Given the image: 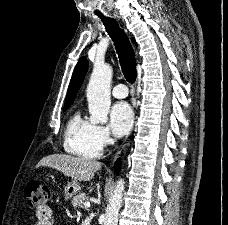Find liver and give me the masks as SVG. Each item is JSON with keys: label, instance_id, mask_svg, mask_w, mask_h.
<instances>
[{"label": "liver", "instance_id": "6515ba94", "mask_svg": "<svg viewBox=\"0 0 228 225\" xmlns=\"http://www.w3.org/2000/svg\"><path fill=\"white\" fill-rule=\"evenodd\" d=\"M102 163L84 157H71V155H49L43 157L36 167H50L66 177H72L74 181H90L94 173L100 171Z\"/></svg>", "mask_w": 228, "mask_h": 225}]
</instances>
